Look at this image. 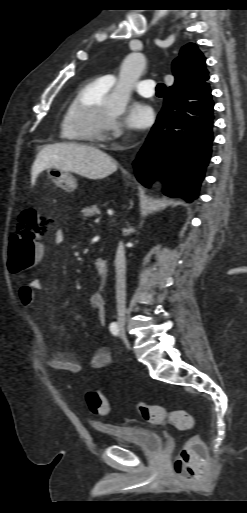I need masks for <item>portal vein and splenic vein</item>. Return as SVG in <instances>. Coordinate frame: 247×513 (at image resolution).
Masks as SVG:
<instances>
[{"instance_id": "18ae733b", "label": "portal vein and splenic vein", "mask_w": 247, "mask_h": 513, "mask_svg": "<svg viewBox=\"0 0 247 513\" xmlns=\"http://www.w3.org/2000/svg\"><path fill=\"white\" fill-rule=\"evenodd\" d=\"M95 222H99V219H96Z\"/></svg>"}]
</instances>
